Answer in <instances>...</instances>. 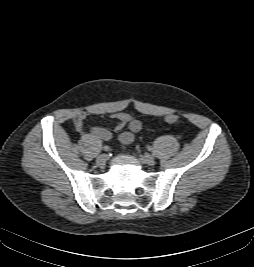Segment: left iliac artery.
Wrapping results in <instances>:
<instances>
[{
	"mask_svg": "<svg viewBox=\"0 0 254 267\" xmlns=\"http://www.w3.org/2000/svg\"><path fill=\"white\" fill-rule=\"evenodd\" d=\"M152 149H153V148H152L151 146H148V150H149V151H152Z\"/></svg>",
	"mask_w": 254,
	"mask_h": 267,
	"instance_id": "left-iliac-artery-1",
	"label": "left iliac artery"
}]
</instances>
